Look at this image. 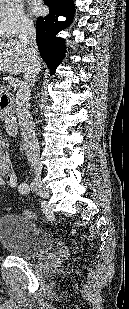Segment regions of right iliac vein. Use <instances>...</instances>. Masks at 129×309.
<instances>
[{"label":"right iliac vein","instance_id":"obj_1","mask_svg":"<svg viewBox=\"0 0 129 309\" xmlns=\"http://www.w3.org/2000/svg\"><path fill=\"white\" fill-rule=\"evenodd\" d=\"M32 189L41 197L48 198L49 197V190L45 188V186L42 184V182L35 178L31 183Z\"/></svg>","mask_w":129,"mask_h":309}]
</instances>
